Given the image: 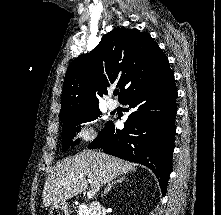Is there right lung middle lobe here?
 Returning <instances> with one entry per match:
<instances>
[{"instance_id": "obj_1", "label": "right lung middle lobe", "mask_w": 221, "mask_h": 215, "mask_svg": "<svg viewBox=\"0 0 221 215\" xmlns=\"http://www.w3.org/2000/svg\"><path fill=\"white\" fill-rule=\"evenodd\" d=\"M102 113L99 108H93L77 113L71 117L61 120L63 123L62 145L63 150L66 151L70 147H74L79 143L78 140L72 142L75 133L80 131V124L96 120ZM78 125V126H77ZM77 126V127H76Z\"/></svg>"}]
</instances>
